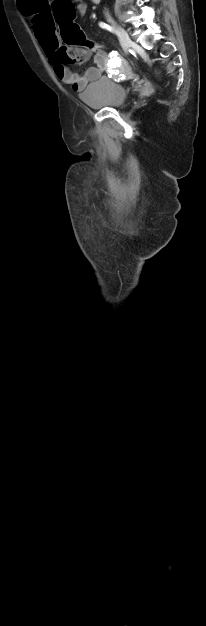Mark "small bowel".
Wrapping results in <instances>:
<instances>
[{"label":"small bowel","mask_w":206,"mask_h":626,"mask_svg":"<svg viewBox=\"0 0 206 626\" xmlns=\"http://www.w3.org/2000/svg\"><path fill=\"white\" fill-rule=\"evenodd\" d=\"M87 8V4L84 1H80L77 4L78 14L84 16ZM31 14L35 37L53 63L56 77L61 82L71 85L75 91L80 92L84 90L90 82L99 78L103 70L115 68L121 71L126 70V62L116 52H111L106 56L102 52L97 51L94 57L95 67H90L84 74L71 71L58 57L61 46L55 34L50 14L44 10H35Z\"/></svg>","instance_id":"c3829d8e"}]
</instances>
